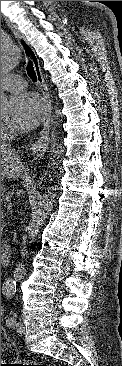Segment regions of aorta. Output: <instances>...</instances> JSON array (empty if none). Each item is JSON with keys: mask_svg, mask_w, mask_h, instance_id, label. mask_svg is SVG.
I'll use <instances>...</instances> for the list:
<instances>
[{"mask_svg": "<svg viewBox=\"0 0 122 366\" xmlns=\"http://www.w3.org/2000/svg\"><path fill=\"white\" fill-rule=\"evenodd\" d=\"M22 54L17 45L10 41L1 43V78L22 62ZM9 98L1 89V114L8 111ZM59 190L58 185L48 186L32 211L31 220L26 229L27 238L32 242L40 233L50 211L53 209L54 198Z\"/></svg>", "mask_w": 122, "mask_h": 366, "instance_id": "aorta-1", "label": "aorta"}]
</instances>
